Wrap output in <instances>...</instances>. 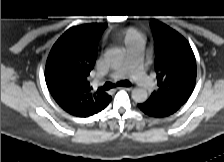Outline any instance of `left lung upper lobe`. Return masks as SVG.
Listing matches in <instances>:
<instances>
[{
    "instance_id": "obj_1",
    "label": "left lung upper lobe",
    "mask_w": 224,
    "mask_h": 162,
    "mask_svg": "<svg viewBox=\"0 0 224 162\" xmlns=\"http://www.w3.org/2000/svg\"><path fill=\"white\" fill-rule=\"evenodd\" d=\"M151 28L159 88L146 102L180 107L188 100L195 86L194 53L186 39L168 26L152 21Z\"/></svg>"
}]
</instances>
